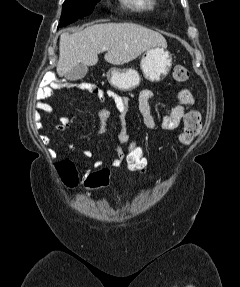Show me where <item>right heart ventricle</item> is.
<instances>
[{
  "mask_svg": "<svg viewBox=\"0 0 240 287\" xmlns=\"http://www.w3.org/2000/svg\"><path fill=\"white\" fill-rule=\"evenodd\" d=\"M121 4L138 13L152 14L159 7L158 0H120Z\"/></svg>",
  "mask_w": 240,
  "mask_h": 287,
  "instance_id": "right-heart-ventricle-1",
  "label": "right heart ventricle"
}]
</instances>
